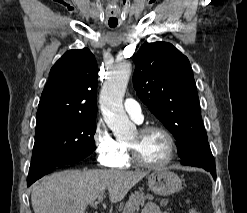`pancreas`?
<instances>
[{
  "mask_svg": "<svg viewBox=\"0 0 247 213\" xmlns=\"http://www.w3.org/2000/svg\"><path fill=\"white\" fill-rule=\"evenodd\" d=\"M154 200V197L150 194H144L143 192H135L131 194L129 200L126 202L122 213H135L140 210V207L144 206L146 200ZM168 200L162 199L160 201V206H166Z\"/></svg>",
  "mask_w": 247,
  "mask_h": 213,
  "instance_id": "obj_1",
  "label": "pancreas"
}]
</instances>
